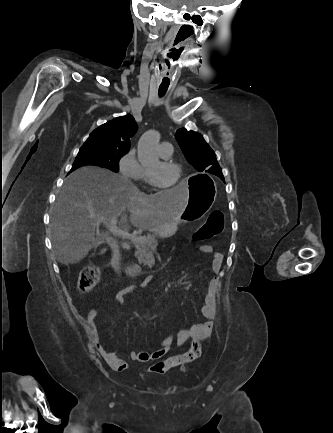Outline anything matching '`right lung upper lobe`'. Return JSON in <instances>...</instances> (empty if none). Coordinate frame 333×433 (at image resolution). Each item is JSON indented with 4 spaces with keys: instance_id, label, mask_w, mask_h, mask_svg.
Returning a JSON list of instances; mask_svg holds the SVG:
<instances>
[{
    "instance_id": "right-lung-upper-lobe-1",
    "label": "right lung upper lobe",
    "mask_w": 333,
    "mask_h": 433,
    "mask_svg": "<svg viewBox=\"0 0 333 433\" xmlns=\"http://www.w3.org/2000/svg\"><path fill=\"white\" fill-rule=\"evenodd\" d=\"M138 129L132 115L117 117L94 130L84 144H93L101 147L118 150L130 149V137Z\"/></svg>"
}]
</instances>
